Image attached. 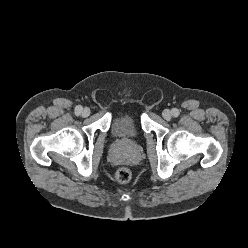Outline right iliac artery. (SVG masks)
Returning a JSON list of instances; mask_svg holds the SVG:
<instances>
[{"instance_id": "1", "label": "right iliac artery", "mask_w": 248, "mask_h": 248, "mask_svg": "<svg viewBox=\"0 0 248 248\" xmlns=\"http://www.w3.org/2000/svg\"><path fill=\"white\" fill-rule=\"evenodd\" d=\"M81 112H82V106H80V105L76 106V108H75V113H76L77 115H79Z\"/></svg>"}]
</instances>
